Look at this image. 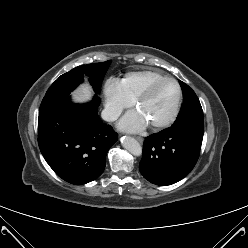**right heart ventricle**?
<instances>
[{"label":"right heart ventricle","instance_id":"obj_1","mask_svg":"<svg viewBox=\"0 0 248 248\" xmlns=\"http://www.w3.org/2000/svg\"><path fill=\"white\" fill-rule=\"evenodd\" d=\"M165 77L154 70H143L130 72L121 80L126 94L134 100L149 84Z\"/></svg>","mask_w":248,"mask_h":248}]
</instances>
